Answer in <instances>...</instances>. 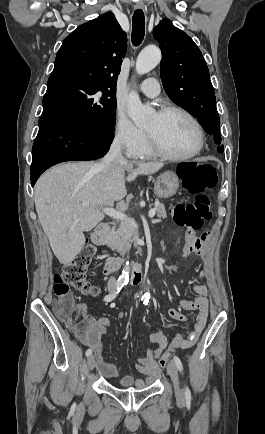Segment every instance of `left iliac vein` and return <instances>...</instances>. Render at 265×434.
Returning <instances> with one entry per match:
<instances>
[{
    "label": "left iliac vein",
    "instance_id": "obj_1",
    "mask_svg": "<svg viewBox=\"0 0 265 434\" xmlns=\"http://www.w3.org/2000/svg\"><path fill=\"white\" fill-rule=\"evenodd\" d=\"M167 371L171 377V380L173 381V383L175 385V395H176L177 401L179 403L183 404L184 403V396H183V392L180 388L178 370H177L176 365L173 361H169L168 366H167Z\"/></svg>",
    "mask_w": 265,
    "mask_h": 434
}]
</instances>
